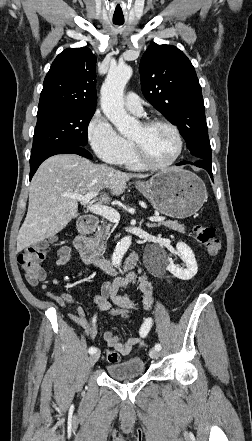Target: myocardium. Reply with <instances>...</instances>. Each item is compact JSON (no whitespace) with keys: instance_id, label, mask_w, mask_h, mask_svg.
Here are the masks:
<instances>
[{"instance_id":"obj_1","label":"myocardium","mask_w":252,"mask_h":441,"mask_svg":"<svg viewBox=\"0 0 252 441\" xmlns=\"http://www.w3.org/2000/svg\"><path fill=\"white\" fill-rule=\"evenodd\" d=\"M141 125L145 129H149V128H152V127L158 126V125L166 126L167 128H169L173 132V134L176 138L177 150H176V153L174 154V156L169 161L164 162V163H154L146 156L142 147L136 141L131 140L132 147L134 149L135 155H136L137 159L139 160V162L145 168L152 169V170L165 169V168H168V167L172 166L173 164H175L177 162V160L181 157L183 150H184L183 138H182V135H181L179 129L177 128V126L168 120L159 119V118L145 120L141 123Z\"/></svg>"}]
</instances>
